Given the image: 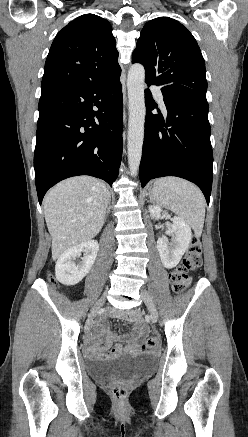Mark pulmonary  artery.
I'll return each mask as SVG.
<instances>
[{"instance_id":"e3ab8cb5","label":"pulmonary artery","mask_w":248,"mask_h":437,"mask_svg":"<svg viewBox=\"0 0 248 437\" xmlns=\"http://www.w3.org/2000/svg\"><path fill=\"white\" fill-rule=\"evenodd\" d=\"M154 95L158 101V103L160 104V106L165 109V104H164V99H163V94L161 92V90L159 88L153 87L152 88Z\"/></svg>"}]
</instances>
